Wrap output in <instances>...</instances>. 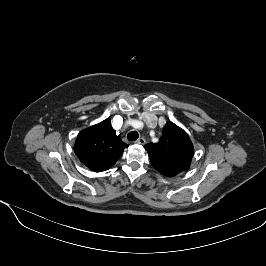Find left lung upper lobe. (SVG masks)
Here are the masks:
<instances>
[{"mask_svg":"<svg viewBox=\"0 0 266 266\" xmlns=\"http://www.w3.org/2000/svg\"><path fill=\"white\" fill-rule=\"evenodd\" d=\"M145 149L153 167L167 177L189 169L193 157V144L187 133L173 122L166 123L158 143Z\"/></svg>","mask_w":266,"mask_h":266,"instance_id":"1","label":"left lung upper lobe"}]
</instances>
